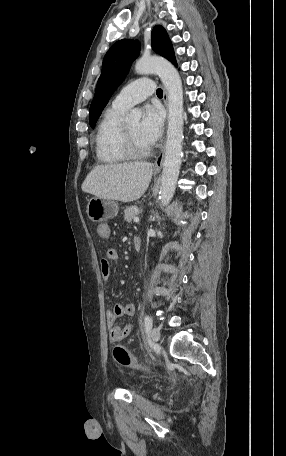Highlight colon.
<instances>
[{"mask_svg": "<svg viewBox=\"0 0 286 456\" xmlns=\"http://www.w3.org/2000/svg\"><path fill=\"white\" fill-rule=\"evenodd\" d=\"M113 356L116 362L121 366L144 369L124 346H115L113 349Z\"/></svg>", "mask_w": 286, "mask_h": 456, "instance_id": "obj_1", "label": "colon"}]
</instances>
